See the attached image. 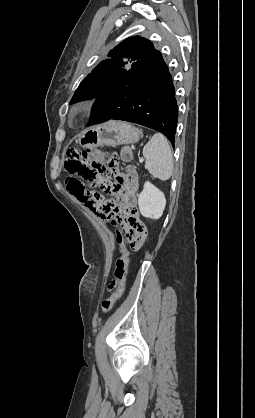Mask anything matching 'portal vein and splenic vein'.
<instances>
[{
  "mask_svg": "<svg viewBox=\"0 0 255 418\" xmlns=\"http://www.w3.org/2000/svg\"><path fill=\"white\" fill-rule=\"evenodd\" d=\"M143 161H144V159H142V158L139 159V162L140 163H143Z\"/></svg>",
  "mask_w": 255,
  "mask_h": 418,
  "instance_id": "18ae733b",
  "label": "portal vein and splenic vein"
}]
</instances>
